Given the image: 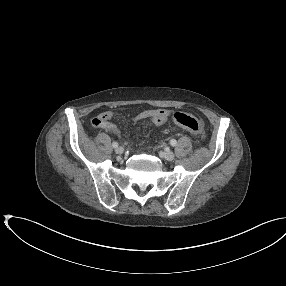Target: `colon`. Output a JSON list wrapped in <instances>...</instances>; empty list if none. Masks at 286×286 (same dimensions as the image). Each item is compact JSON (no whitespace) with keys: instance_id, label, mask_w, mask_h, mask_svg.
<instances>
[{"instance_id":"colon-1","label":"colon","mask_w":286,"mask_h":286,"mask_svg":"<svg viewBox=\"0 0 286 286\" xmlns=\"http://www.w3.org/2000/svg\"><path fill=\"white\" fill-rule=\"evenodd\" d=\"M173 121L175 124L190 131L195 136H201L203 133L202 123L192 115L183 112H176L173 114Z\"/></svg>"}]
</instances>
